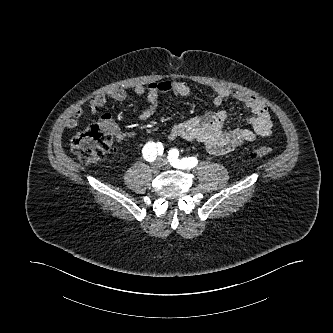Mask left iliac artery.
I'll return each mask as SVG.
<instances>
[{"instance_id": "1", "label": "left iliac artery", "mask_w": 333, "mask_h": 333, "mask_svg": "<svg viewBox=\"0 0 333 333\" xmlns=\"http://www.w3.org/2000/svg\"><path fill=\"white\" fill-rule=\"evenodd\" d=\"M168 153L169 162L176 168L191 169L198 163V160L195 157L179 159V151L176 148H172Z\"/></svg>"}]
</instances>
